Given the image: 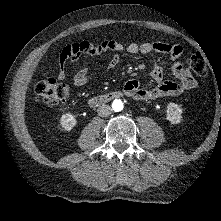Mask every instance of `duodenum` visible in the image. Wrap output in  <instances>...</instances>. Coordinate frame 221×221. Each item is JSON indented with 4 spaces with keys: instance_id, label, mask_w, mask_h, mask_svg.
Listing matches in <instances>:
<instances>
[{
    "instance_id": "duodenum-1",
    "label": "duodenum",
    "mask_w": 221,
    "mask_h": 221,
    "mask_svg": "<svg viewBox=\"0 0 221 221\" xmlns=\"http://www.w3.org/2000/svg\"><path fill=\"white\" fill-rule=\"evenodd\" d=\"M123 95H124V93L121 92V91H113V92H109V93H106V94L94 96V97L89 99V105L91 107H98L102 104H105V103L111 101V100L120 98Z\"/></svg>"
}]
</instances>
